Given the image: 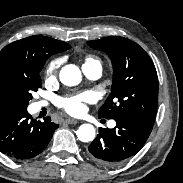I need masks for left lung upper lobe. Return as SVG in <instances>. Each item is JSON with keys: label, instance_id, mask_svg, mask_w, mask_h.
Segmentation results:
<instances>
[{"label": "left lung upper lobe", "instance_id": "left-lung-upper-lobe-1", "mask_svg": "<svg viewBox=\"0 0 183 183\" xmlns=\"http://www.w3.org/2000/svg\"><path fill=\"white\" fill-rule=\"evenodd\" d=\"M87 43L108 54L113 65L111 93L98 111L99 118L132 115L154 123L158 77L148 54L124 37L110 36Z\"/></svg>", "mask_w": 183, "mask_h": 183}]
</instances>
